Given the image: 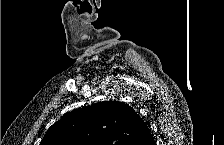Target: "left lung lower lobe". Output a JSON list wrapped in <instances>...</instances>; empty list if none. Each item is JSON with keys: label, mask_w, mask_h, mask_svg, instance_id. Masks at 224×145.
I'll list each match as a JSON object with an SVG mask.
<instances>
[{"label": "left lung lower lobe", "mask_w": 224, "mask_h": 145, "mask_svg": "<svg viewBox=\"0 0 224 145\" xmlns=\"http://www.w3.org/2000/svg\"><path fill=\"white\" fill-rule=\"evenodd\" d=\"M133 145H155L154 138L152 134L150 133L146 123L143 125Z\"/></svg>", "instance_id": "1"}]
</instances>
